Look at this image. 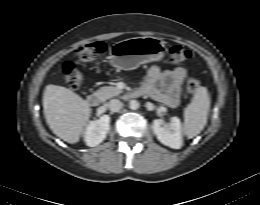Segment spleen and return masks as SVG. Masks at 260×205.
<instances>
[{"label": "spleen", "mask_w": 260, "mask_h": 205, "mask_svg": "<svg viewBox=\"0 0 260 205\" xmlns=\"http://www.w3.org/2000/svg\"><path fill=\"white\" fill-rule=\"evenodd\" d=\"M210 97L206 87H198L192 102L184 110L183 131L187 138L197 136L207 124Z\"/></svg>", "instance_id": "3e777b00"}]
</instances>
